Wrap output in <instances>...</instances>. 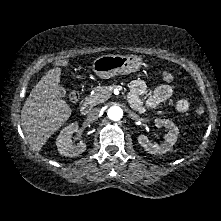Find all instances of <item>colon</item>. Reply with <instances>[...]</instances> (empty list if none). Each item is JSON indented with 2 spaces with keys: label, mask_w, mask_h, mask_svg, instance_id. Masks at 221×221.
I'll return each instance as SVG.
<instances>
[{
  "label": "colon",
  "mask_w": 221,
  "mask_h": 221,
  "mask_svg": "<svg viewBox=\"0 0 221 221\" xmlns=\"http://www.w3.org/2000/svg\"><path fill=\"white\" fill-rule=\"evenodd\" d=\"M162 79L166 82H172L174 79V76L170 72H163L162 73ZM70 99L72 101H77L79 99V93L77 91H72L70 93ZM195 112L198 115H202L204 113V107L202 106H197L195 109Z\"/></svg>",
  "instance_id": "1"
}]
</instances>
